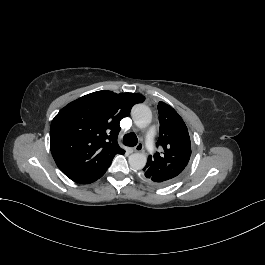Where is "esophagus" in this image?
<instances>
[{
    "instance_id": "obj_1",
    "label": "esophagus",
    "mask_w": 265,
    "mask_h": 265,
    "mask_svg": "<svg viewBox=\"0 0 265 265\" xmlns=\"http://www.w3.org/2000/svg\"><path fill=\"white\" fill-rule=\"evenodd\" d=\"M143 150V144L141 142H139L135 147H134V151L135 152H141Z\"/></svg>"
}]
</instances>
